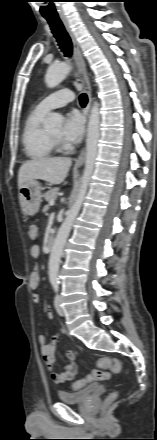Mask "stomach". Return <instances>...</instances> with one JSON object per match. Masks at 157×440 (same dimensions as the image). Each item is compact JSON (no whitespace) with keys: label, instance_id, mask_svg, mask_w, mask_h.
<instances>
[{"label":"stomach","instance_id":"1","mask_svg":"<svg viewBox=\"0 0 157 440\" xmlns=\"http://www.w3.org/2000/svg\"><path fill=\"white\" fill-rule=\"evenodd\" d=\"M41 184L34 180L19 188V203L26 215H35L40 208Z\"/></svg>","mask_w":157,"mask_h":440}]
</instances>
